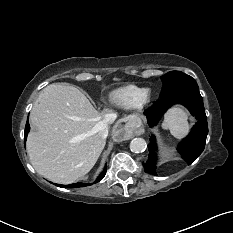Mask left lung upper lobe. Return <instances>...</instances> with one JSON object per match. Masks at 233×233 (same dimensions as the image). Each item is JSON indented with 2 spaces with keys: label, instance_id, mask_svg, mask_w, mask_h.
Returning <instances> with one entry per match:
<instances>
[{
  "label": "left lung upper lobe",
  "instance_id": "5c2ea615",
  "mask_svg": "<svg viewBox=\"0 0 233 233\" xmlns=\"http://www.w3.org/2000/svg\"><path fill=\"white\" fill-rule=\"evenodd\" d=\"M161 80L163 82L161 98L183 87L198 86L196 81L191 76L180 71L168 72L161 77Z\"/></svg>",
  "mask_w": 233,
  "mask_h": 233
}]
</instances>
